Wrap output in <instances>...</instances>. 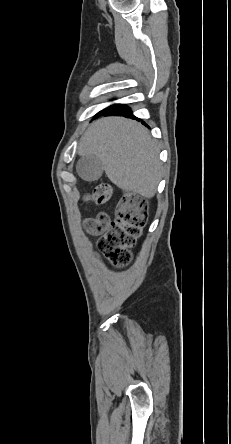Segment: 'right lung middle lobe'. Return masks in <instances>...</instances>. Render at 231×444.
<instances>
[{"label":"right lung middle lobe","instance_id":"dd1d6c3e","mask_svg":"<svg viewBox=\"0 0 231 444\" xmlns=\"http://www.w3.org/2000/svg\"><path fill=\"white\" fill-rule=\"evenodd\" d=\"M112 107V106H111ZM111 107H109V108H111ZM109 108H107V109H109ZM107 109H105V110H103V111H101L100 113H98L97 115H100L101 113H103L104 111H106Z\"/></svg>","mask_w":231,"mask_h":444}]
</instances>
